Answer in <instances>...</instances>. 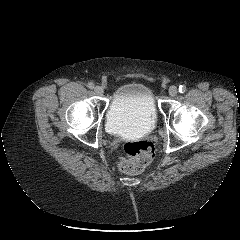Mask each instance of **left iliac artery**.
<instances>
[{
    "instance_id": "obj_1",
    "label": "left iliac artery",
    "mask_w": 240,
    "mask_h": 240,
    "mask_svg": "<svg viewBox=\"0 0 240 240\" xmlns=\"http://www.w3.org/2000/svg\"><path fill=\"white\" fill-rule=\"evenodd\" d=\"M185 91H186V86L180 85V86H179V92H180V93H184Z\"/></svg>"
}]
</instances>
